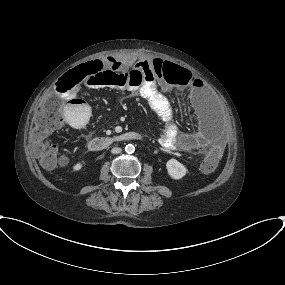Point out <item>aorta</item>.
<instances>
[{
    "mask_svg": "<svg viewBox=\"0 0 285 285\" xmlns=\"http://www.w3.org/2000/svg\"><path fill=\"white\" fill-rule=\"evenodd\" d=\"M125 151H126V153H128V154H132V153H134V151H135V146H134L133 144H127V145L125 146Z\"/></svg>",
    "mask_w": 285,
    "mask_h": 285,
    "instance_id": "aorta-1",
    "label": "aorta"
}]
</instances>
